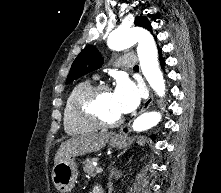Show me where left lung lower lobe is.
<instances>
[{"mask_svg": "<svg viewBox=\"0 0 221 193\" xmlns=\"http://www.w3.org/2000/svg\"><path fill=\"white\" fill-rule=\"evenodd\" d=\"M158 51H159V57H160V63H161V66L164 67L165 65V61L163 60L162 56H161V52L162 50L160 48H158Z\"/></svg>", "mask_w": 221, "mask_h": 193, "instance_id": "left-lung-lower-lobe-1", "label": "left lung lower lobe"}]
</instances>
